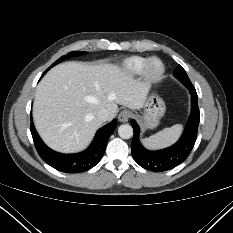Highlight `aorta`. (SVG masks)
Listing matches in <instances>:
<instances>
[{
	"label": "aorta",
	"instance_id": "aorta-1",
	"mask_svg": "<svg viewBox=\"0 0 233 233\" xmlns=\"http://www.w3.org/2000/svg\"><path fill=\"white\" fill-rule=\"evenodd\" d=\"M118 134L123 139H130L133 136V128L129 124H123L118 128Z\"/></svg>",
	"mask_w": 233,
	"mask_h": 233
}]
</instances>
